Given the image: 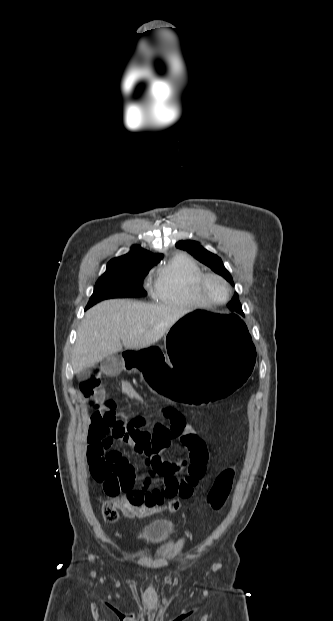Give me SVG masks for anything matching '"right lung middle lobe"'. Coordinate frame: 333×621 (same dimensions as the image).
I'll use <instances>...</instances> for the list:
<instances>
[{"instance_id": "right-lung-middle-lobe-1", "label": "right lung middle lobe", "mask_w": 333, "mask_h": 621, "mask_svg": "<svg viewBox=\"0 0 333 621\" xmlns=\"http://www.w3.org/2000/svg\"><path fill=\"white\" fill-rule=\"evenodd\" d=\"M152 266L130 263H108L106 272L97 281L86 306L117 297H145L143 279Z\"/></svg>"}]
</instances>
